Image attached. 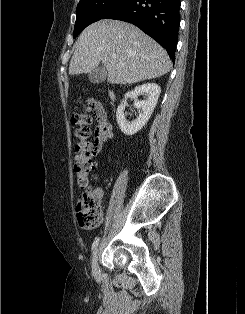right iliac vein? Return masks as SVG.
Listing matches in <instances>:
<instances>
[{
  "label": "right iliac vein",
  "instance_id": "1",
  "mask_svg": "<svg viewBox=\"0 0 245 314\" xmlns=\"http://www.w3.org/2000/svg\"><path fill=\"white\" fill-rule=\"evenodd\" d=\"M92 272L94 275H98L100 272L99 265H98V249H95V252L93 254L92 258Z\"/></svg>",
  "mask_w": 245,
  "mask_h": 314
}]
</instances>
